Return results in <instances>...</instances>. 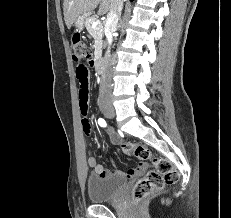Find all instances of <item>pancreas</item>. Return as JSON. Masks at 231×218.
I'll use <instances>...</instances> for the list:
<instances>
[{
    "instance_id": "1",
    "label": "pancreas",
    "mask_w": 231,
    "mask_h": 218,
    "mask_svg": "<svg viewBox=\"0 0 231 218\" xmlns=\"http://www.w3.org/2000/svg\"><path fill=\"white\" fill-rule=\"evenodd\" d=\"M97 21V18L94 16H89L85 19V27L88 33L94 38L95 40V51H100L102 48V38H103V25L100 23L96 28L92 27V23Z\"/></svg>"
}]
</instances>
